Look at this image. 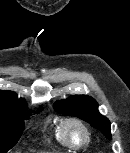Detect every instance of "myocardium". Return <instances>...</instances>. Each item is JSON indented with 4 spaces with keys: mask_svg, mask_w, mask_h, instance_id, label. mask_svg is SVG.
<instances>
[{
    "mask_svg": "<svg viewBox=\"0 0 130 153\" xmlns=\"http://www.w3.org/2000/svg\"><path fill=\"white\" fill-rule=\"evenodd\" d=\"M71 126H77L82 131L84 138L81 143L78 144L74 143L70 139L68 129ZM61 130L67 145L72 149H80L83 146H85L89 141L90 138L89 129L87 125L78 117H68L64 119L61 124Z\"/></svg>",
    "mask_w": 130,
    "mask_h": 153,
    "instance_id": "f54148a6",
    "label": "myocardium"
}]
</instances>
